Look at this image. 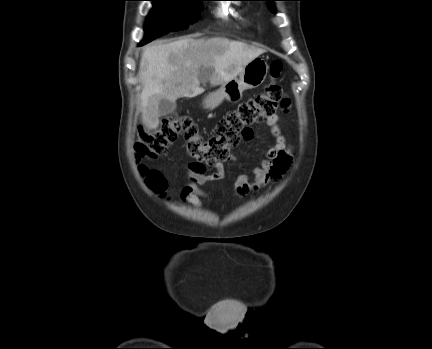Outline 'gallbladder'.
<instances>
[{
	"instance_id": "1",
	"label": "gallbladder",
	"mask_w": 432,
	"mask_h": 349,
	"mask_svg": "<svg viewBox=\"0 0 432 349\" xmlns=\"http://www.w3.org/2000/svg\"><path fill=\"white\" fill-rule=\"evenodd\" d=\"M176 107V102L163 98L159 101L158 111L161 116H166L173 113Z\"/></svg>"
}]
</instances>
